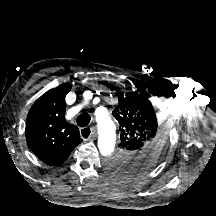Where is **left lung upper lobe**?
<instances>
[{"instance_id": "obj_1", "label": "left lung upper lobe", "mask_w": 216, "mask_h": 216, "mask_svg": "<svg viewBox=\"0 0 216 216\" xmlns=\"http://www.w3.org/2000/svg\"><path fill=\"white\" fill-rule=\"evenodd\" d=\"M149 97L148 92L119 95L112 114L119 124L121 142L117 153L105 165L115 178H139L154 168L165 154L167 126Z\"/></svg>"}]
</instances>
